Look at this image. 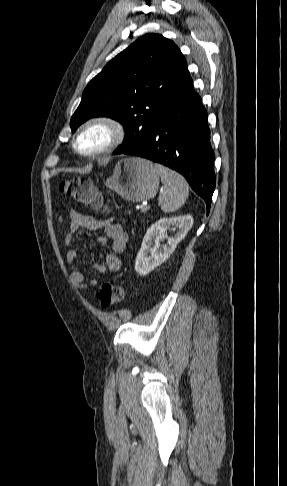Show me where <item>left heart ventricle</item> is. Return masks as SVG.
Wrapping results in <instances>:
<instances>
[{
    "label": "left heart ventricle",
    "mask_w": 287,
    "mask_h": 486,
    "mask_svg": "<svg viewBox=\"0 0 287 486\" xmlns=\"http://www.w3.org/2000/svg\"><path fill=\"white\" fill-rule=\"evenodd\" d=\"M107 141V131L97 127L87 131L80 137L78 147L83 151H93L105 145Z\"/></svg>",
    "instance_id": "obj_1"
}]
</instances>
